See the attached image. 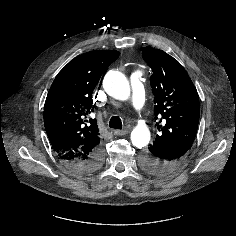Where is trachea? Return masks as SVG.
Listing matches in <instances>:
<instances>
[{"mask_svg": "<svg viewBox=\"0 0 236 236\" xmlns=\"http://www.w3.org/2000/svg\"><path fill=\"white\" fill-rule=\"evenodd\" d=\"M109 127L113 129H122V121L120 117L113 116L109 121Z\"/></svg>", "mask_w": 236, "mask_h": 236, "instance_id": "trachea-1", "label": "trachea"}]
</instances>
